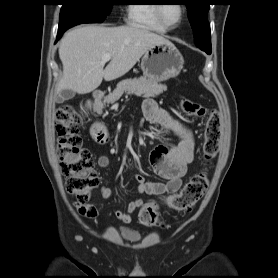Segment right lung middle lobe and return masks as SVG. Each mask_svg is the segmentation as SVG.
Returning <instances> with one entry per match:
<instances>
[{
  "label": "right lung middle lobe",
  "mask_w": 278,
  "mask_h": 278,
  "mask_svg": "<svg viewBox=\"0 0 278 278\" xmlns=\"http://www.w3.org/2000/svg\"><path fill=\"white\" fill-rule=\"evenodd\" d=\"M115 0H60L62 8L58 30L77 24L101 23L110 14Z\"/></svg>",
  "instance_id": "obj_1"
}]
</instances>
